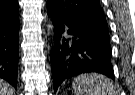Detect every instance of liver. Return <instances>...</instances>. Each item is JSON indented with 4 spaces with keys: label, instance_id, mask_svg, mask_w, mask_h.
I'll return each instance as SVG.
<instances>
[{
    "label": "liver",
    "instance_id": "liver-1",
    "mask_svg": "<svg viewBox=\"0 0 135 95\" xmlns=\"http://www.w3.org/2000/svg\"><path fill=\"white\" fill-rule=\"evenodd\" d=\"M0 95H13V88L4 80L0 79Z\"/></svg>",
    "mask_w": 135,
    "mask_h": 95
}]
</instances>
